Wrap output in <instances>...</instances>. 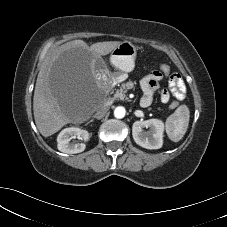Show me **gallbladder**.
Here are the masks:
<instances>
[{
  "label": "gallbladder",
  "instance_id": "gallbladder-1",
  "mask_svg": "<svg viewBox=\"0 0 227 227\" xmlns=\"http://www.w3.org/2000/svg\"><path fill=\"white\" fill-rule=\"evenodd\" d=\"M94 66H95L96 72L99 73V74L104 73L105 70H106L105 63L101 59L96 60L95 63H94Z\"/></svg>",
  "mask_w": 227,
  "mask_h": 227
}]
</instances>
